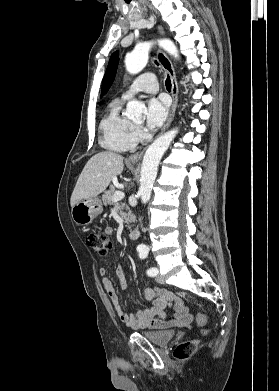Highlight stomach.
<instances>
[{
	"label": "stomach",
	"instance_id": "stomach-1",
	"mask_svg": "<svg viewBox=\"0 0 279 391\" xmlns=\"http://www.w3.org/2000/svg\"><path fill=\"white\" fill-rule=\"evenodd\" d=\"M103 211L102 202L98 197L87 198L72 207L71 215L75 223L87 225Z\"/></svg>",
	"mask_w": 279,
	"mask_h": 391
}]
</instances>
